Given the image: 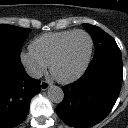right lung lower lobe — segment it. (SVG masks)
<instances>
[{"mask_svg":"<svg viewBox=\"0 0 128 128\" xmlns=\"http://www.w3.org/2000/svg\"><path fill=\"white\" fill-rule=\"evenodd\" d=\"M40 91V81L28 76L21 62L0 55V128L22 123L32 97Z\"/></svg>","mask_w":128,"mask_h":128,"instance_id":"obj_1","label":"right lung lower lobe"}]
</instances>
